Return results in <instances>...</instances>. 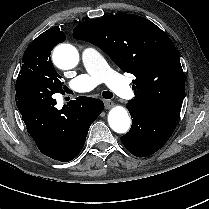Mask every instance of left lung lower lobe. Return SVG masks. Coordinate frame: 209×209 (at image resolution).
Listing matches in <instances>:
<instances>
[{"label": "left lung lower lobe", "mask_w": 209, "mask_h": 209, "mask_svg": "<svg viewBox=\"0 0 209 209\" xmlns=\"http://www.w3.org/2000/svg\"><path fill=\"white\" fill-rule=\"evenodd\" d=\"M132 127L122 136L123 145L137 157H146L158 151L171 137L176 122L152 114L145 109L127 104Z\"/></svg>", "instance_id": "0a47b994"}]
</instances>
